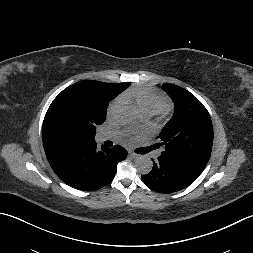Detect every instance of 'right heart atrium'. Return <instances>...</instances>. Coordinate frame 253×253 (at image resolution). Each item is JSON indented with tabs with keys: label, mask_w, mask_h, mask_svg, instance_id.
<instances>
[{
	"label": "right heart atrium",
	"mask_w": 253,
	"mask_h": 253,
	"mask_svg": "<svg viewBox=\"0 0 253 253\" xmlns=\"http://www.w3.org/2000/svg\"><path fill=\"white\" fill-rule=\"evenodd\" d=\"M123 100H124V98L122 96L121 97H117L116 99H114L109 104V107H108V110H107V116H108V118H113L117 114V112H118V110H119V108H120Z\"/></svg>",
	"instance_id": "1"
}]
</instances>
